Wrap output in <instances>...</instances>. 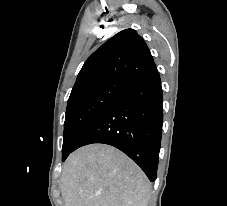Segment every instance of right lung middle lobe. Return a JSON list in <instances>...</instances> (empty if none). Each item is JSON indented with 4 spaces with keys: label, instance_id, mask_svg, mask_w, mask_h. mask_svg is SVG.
Listing matches in <instances>:
<instances>
[{
    "label": "right lung middle lobe",
    "instance_id": "right-lung-middle-lobe-1",
    "mask_svg": "<svg viewBox=\"0 0 227 206\" xmlns=\"http://www.w3.org/2000/svg\"><path fill=\"white\" fill-rule=\"evenodd\" d=\"M117 79L99 81L71 93L64 123L62 160L73 151L78 139L101 113L126 89Z\"/></svg>",
    "mask_w": 227,
    "mask_h": 206
}]
</instances>
